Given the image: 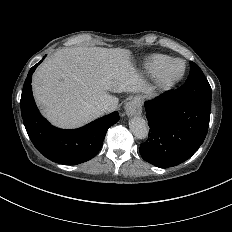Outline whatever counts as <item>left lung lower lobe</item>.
Returning <instances> with one entry per match:
<instances>
[{
  "mask_svg": "<svg viewBox=\"0 0 232 232\" xmlns=\"http://www.w3.org/2000/svg\"><path fill=\"white\" fill-rule=\"evenodd\" d=\"M150 127L140 145L142 158L160 168L177 166L202 145L209 127L211 106L182 96L178 89L145 102Z\"/></svg>",
  "mask_w": 232,
  "mask_h": 232,
  "instance_id": "obj_1",
  "label": "left lung lower lobe"
}]
</instances>
